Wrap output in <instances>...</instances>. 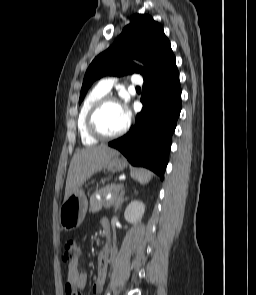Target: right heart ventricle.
<instances>
[{
  "instance_id": "1",
  "label": "right heart ventricle",
  "mask_w": 256,
  "mask_h": 295,
  "mask_svg": "<svg viewBox=\"0 0 256 295\" xmlns=\"http://www.w3.org/2000/svg\"><path fill=\"white\" fill-rule=\"evenodd\" d=\"M106 93L102 92L98 87L91 90L85 97L80 112L78 115L77 126L81 141L84 145H94L97 139L91 136L86 128V117L91 106L100 98L104 97Z\"/></svg>"
}]
</instances>
